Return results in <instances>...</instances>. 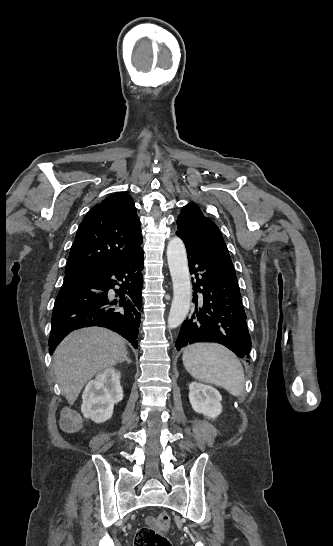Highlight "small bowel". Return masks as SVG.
Returning <instances> with one entry per match:
<instances>
[{"mask_svg": "<svg viewBox=\"0 0 333 546\" xmlns=\"http://www.w3.org/2000/svg\"><path fill=\"white\" fill-rule=\"evenodd\" d=\"M76 422H77V419L75 417L67 416L66 418L62 419L61 427L65 431H71L75 428Z\"/></svg>", "mask_w": 333, "mask_h": 546, "instance_id": "1", "label": "small bowel"}]
</instances>
